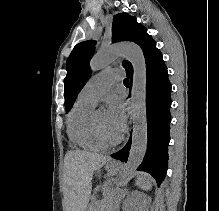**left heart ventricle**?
<instances>
[{"instance_id": "left-heart-ventricle-1", "label": "left heart ventricle", "mask_w": 219, "mask_h": 211, "mask_svg": "<svg viewBox=\"0 0 219 211\" xmlns=\"http://www.w3.org/2000/svg\"><path fill=\"white\" fill-rule=\"evenodd\" d=\"M96 117L97 120L99 122V124L101 125V127L109 134H116L118 133L117 131H115L107 118V112L105 111V109H100L96 112Z\"/></svg>"}]
</instances>
